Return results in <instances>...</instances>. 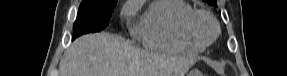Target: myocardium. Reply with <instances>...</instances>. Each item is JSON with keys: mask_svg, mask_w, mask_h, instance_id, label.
<instances>
[{"mask_svg": "<svg viewBox=\"0 0 287 76\" xmlns=\"http://www.w3.org/2000/svg\"><path fill=\"white\" fill-rule=\"evenodd\" d=\"M201 18H205L209 21L213 27V34L209 38H203L197 30L198 21ZM186 32L188 36L197 44L201 46H208L211 44L219 35L220 27L215 17L205 10H194L186 19Z\"/></svg>", "mask_w": 287, "mask_h": 76, "instance_id": "f54148a6", "label": "myocardium"}]
</instances>
